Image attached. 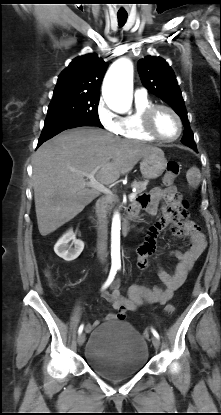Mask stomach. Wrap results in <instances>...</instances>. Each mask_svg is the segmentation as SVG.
Segmentation results:
<instances>
[{
  "mask_svg": "<svg viewBox=\"0 0 221 415\" xmlns=\"http://www.w3.org/2000/svg\"><path fill=\"white\" fill-rule=\"evenodd\" d=\"M167 166V160L162 150L153 151L144 156L140 162V171L146 179L160 177Z\"/></svg>",
  "mask_w": 221,
  "mask_h": 415,
  "instance_id": "obj_1",
  "label": "stomach"
}]
</instances>
